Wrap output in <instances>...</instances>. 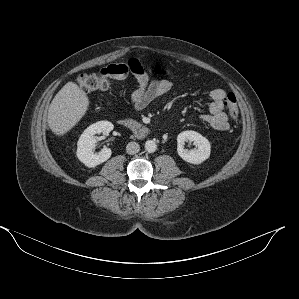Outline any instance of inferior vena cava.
Segmentation results:
<instances>
[{
  "label": "inferior vena cava",
  "instance_id": "602c4592",
  "mask_svg": "<svg viewBox=\"0 0 299 299\" xmlns=\"http://www.w3.org/2000/svg\"><path fill=\"white\" fill-rule=\"evenodd\" d=\"M140 150V145L137 142H129L126 146L128 154H136Z\"/></svg>",
  "mask_w": 299,
  "mask_h": 299
}]
</instances>
